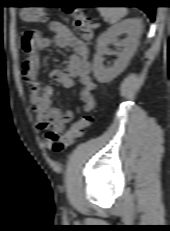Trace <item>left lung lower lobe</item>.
<instances>
[{
  "instance_id": "0a47b994",
  "label": "left lung lower lobe",
  "mask_w": 170,
  "mask_h": 231,
  "mask_svg": "<svg viewBox=\"0 0 170 231\" xmlns=\"http://www.w3.org/2000/svg\"><path fill=\"white\" fill-rule=\"evenodd\" d=\"M132 3L137 4L135 7L142 9L151 21L155 20V6L152 0H133Z\"/></svg>"
}]
</instances>
